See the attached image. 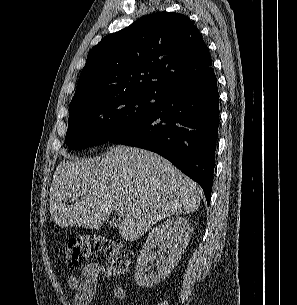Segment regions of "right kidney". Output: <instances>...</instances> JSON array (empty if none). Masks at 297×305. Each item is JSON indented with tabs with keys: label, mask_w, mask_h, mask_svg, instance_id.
Segmentation results:
<instances>
[{
	"label": "right kidney",
	"mask_w": 297,
	"mask_h": 305,
	"mask_svg": "<svg viewBox=\"0 0 297 305\" xmlns=\"http://www.w3.org/2000/svg\"><path fill=\"white\" fill-rule=\"evenodd\" d=\"M192 233L189 220L180 216L167 219L153 228L137 259L134 272L136 284L149 288L165 279L179 262ZM157 245L161 247L158 254L152 252ZM154 260H157V267L149 271L148 264H152Z\"/></svg>",
	"instance_id": "right-kidney-1"
}]
</instances>
